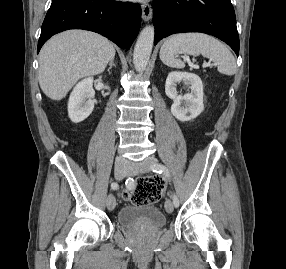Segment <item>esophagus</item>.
I'll return each mask as SVG.
<instances>
[{
	"instance_id": "1",
	"label": "esophagus",
	"mask_w": 286,
	"mask_h": 269,
	"mask_svg": "<svg viewBox=\"0 0 286 269\" xmlns=\"http://www.w3.org/2000/svg\"><path fill=\"white\" fill-rule=\"evenodd\" d=\"M152 15H153L152 6L149 3L143 4L142 5V19L145 22H148L149 20H151Z\"/></svg>"
}]
</instances>
